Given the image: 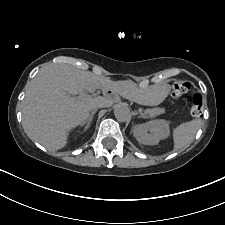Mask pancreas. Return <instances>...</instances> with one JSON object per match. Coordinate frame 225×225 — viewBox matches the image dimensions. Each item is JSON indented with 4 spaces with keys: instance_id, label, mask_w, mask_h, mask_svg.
<instances>
[{
    "instance_id": "pancreas-1",
    "label": "pancreas",
    "mask_w": 225,
    "mask_h": 225,
    "mask_svg": "<svg viewBox=\"0 0 225 225\" xmlns=\"http://www.w3.org/2000/svg\"><path fill=\"white\" fill-rule=\"evenodd\" d=\"M164 112H165V110L163 108H159V107L147 109L145 111V113L148 115V117H155V116L160 115Z\"/></svg>"
}]
</instances>
